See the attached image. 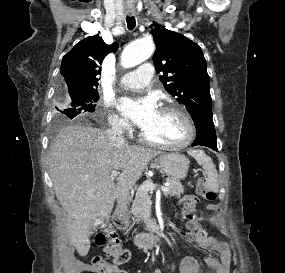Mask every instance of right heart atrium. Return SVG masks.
Segmentation results:
<instances>
[{"label":"right heart atrium","mask_w":285,"mask_h":273,"mask_svg":"<svg viewBox=\"0 0 285 273\" xmlns=\"http://www.w3.org/2000/svg\"><path fill=\"white\" fill-rule=\"evenodd\" d=\"M105 110L107 113L108 124L111 128L114 129L115 132L125 134L131 130V126L125 118L110 111L108 105H105Z\"/></svg>","instance_id":"1"}]
</instances>
